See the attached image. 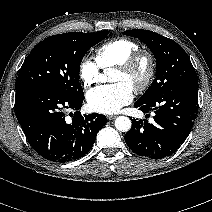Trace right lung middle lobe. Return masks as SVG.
Instances as JSON below:
<instances>
[{"instance_id":"right-lung-middle-lobe-1","label":"right lung middle lobe","mask_w":212,"mask_h":212,"mask_svg":"<svg viewBox=\"0 0 212 212\" xmlns=\"http://www.w3.org/2000/svg\"><path fill=\"white\" fill-rule=\"evenodd\" d=\"M108 33L69 32L39 42L25 59L15 89L44 87L69 97L84 95L79 84L80 63L86 52Z\"/></svg>"}]
</instances>
